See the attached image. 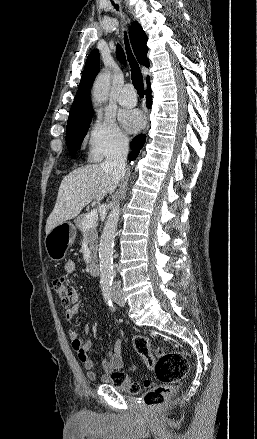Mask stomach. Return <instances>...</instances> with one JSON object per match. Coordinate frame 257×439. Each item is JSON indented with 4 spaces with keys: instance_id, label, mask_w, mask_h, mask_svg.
I'll use <instances>...</instances> for the list:
<instances>
[{
    "instance_id": "0dacf381",
    "label": "stomach",
    "mask_w": 257,
    "mask_h": 439,
    "mask_svg": "<svg viewBox=\"0 0 257 439\" xmlns=\"http://www.w3.org/2000/svg\"><path fill=\"white\" fill-rule=\"evenodd\" d=\"M76 228L73 223L65 221L54 227L45 238V249L52 261L62 260L74 243Z\"/></svg>"
}]
</instances>
